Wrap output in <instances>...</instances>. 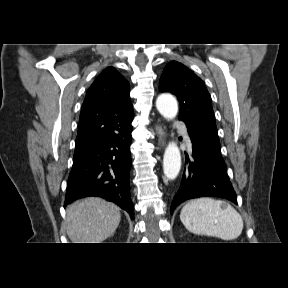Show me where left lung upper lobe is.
<instances>
[{"label":"left lung upper lobe","mask_w":288,"mask_h":288,"mask_svg":"<svg viewBox=\"0 0 288 288\" xmlns=\"http://www.w3.org/2000/svg\"><path fill=\"white\" fill-rule=\"evenodd\" d=\"M159 89L178 97L180 120L220 145L211 96L197 75L183 64L171 61L165 66Z\"/></svg>","instance_id":"obj_1"}]
</instances>
